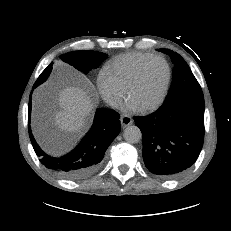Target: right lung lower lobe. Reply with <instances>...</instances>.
<instances>
[{
    "instance_id": "98d812e1",
    "label": "right lung lower lobe",
    "mask_w": 231,
    "mask_h": 231,
    "mask_svg": "<svg viewBox=\"0 0 231 231\" xmlns=\"http://www.w3.org/2000/svg\"><path fill=\"white\" fill-rule=\"evenodd\" d=\"M31 115L29 98L28 123ZM120 115L111 109L96 110L93 125L80 144L69 154L54 158L44 153L36 143L30 126L29 136L40 162L58 175L68 179H80L94 173L100 166L105 151L120 132Z\"/></svg>"
}]
</instances>
